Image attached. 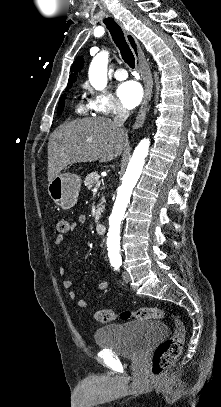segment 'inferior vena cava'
<instances>
[{
    "mask_svg": "<svg viewBox=\"0 0 221 407\" xmlns=\"http://www.w3.org/2000/svg\"><path fill=\"white\" fill-rule=\"evenodd\" d=\"M129 117V111L125 109L122 105L117 106V111L115 117L113 118V122L120 128L123 127L124 122Z\"/></svg>",
    "mask_w": 221,
    "mask_h": 407,
    "instance_id": "obj_1",
    "label": "inferior vena cava"
}]
</instances>
